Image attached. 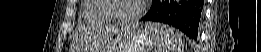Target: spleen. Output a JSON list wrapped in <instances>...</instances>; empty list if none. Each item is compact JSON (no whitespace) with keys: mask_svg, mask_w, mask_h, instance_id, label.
Returning <instances> with one entry per match:
<instances>
[{"mask_svg":"<svg viewBox=\"0 0 261 52\" xmlns=\"http://www.w3.org/2000/svg\"><path fill=\"white\" fill-rule=\"evenodd\" d=\"M147 29L154 38L155 52H181L182 34L159 23H148Z\"/></svg>","mask_w":261,"mask_h":52,"instance_id":"spleen-1","label":"spleen"}]
</instances>
